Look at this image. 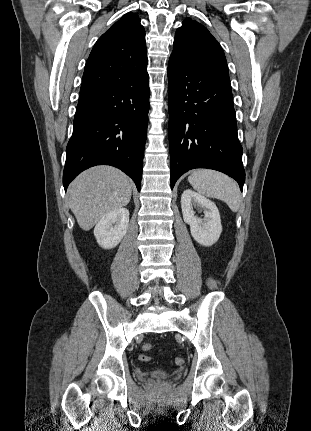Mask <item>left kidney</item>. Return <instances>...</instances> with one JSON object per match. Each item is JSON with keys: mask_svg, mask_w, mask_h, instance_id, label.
<instances>
[{"mask_svg": "<svg viewBox=\"0 0 311 431\" xmlns=\"http://www.w3.org/2000/svg\"><path fill=\"white\" fill-rule=\"evenodd\" d=\"M193 208L204 212V217L195 216ZM181 210L185 223H189L191 235L201 245H213L222 231L221 217L217 206L193 190H184L181 196Z\"/></svg>", "mask_w": 311, "mask_h": 431, "instance_id": "obj_1", "label": "left kidney"}]
</instances>
